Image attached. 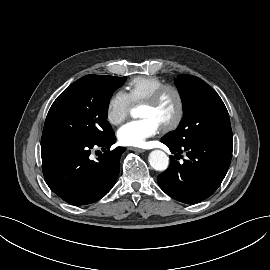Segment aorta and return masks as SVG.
<instances>
[{
    "label": "aorta",
    "mask_w": 270,
    "mask_h": 270,
    "mask_svg": "<svg viewBox=\"0 0 270 270\" xmlns=\"http://www.w3.org/2000/svg\"><path fill=\"white\" fill-rule=\"evenodd\" d=\"M132 117L138 116V111L136 108L130 111ZM148 161L151 167L156 171H165L169 165L168 156L161 150H153L148 157Z\"/></svg>",
    "instance_id": "1"
}]
</instances>
